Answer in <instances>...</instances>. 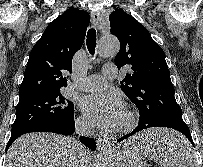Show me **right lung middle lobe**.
<instances>
[{
  "label": "right lung middle lobe",
  "mask_w": 203,
  "mask_h": 167,
  "mask_svg": "<svg viewBox=\"0 0 203 167\" xmlns=\"http://www.w3.org/2000/svg\"><path fill=\"white\" fill-rule=\"evenodd\" d=\"M73 117V104L62 96L60 90L42 94L18 103L11 136Z\"/></svg>",
  "instance_id": "obj_1"
}]
</instances>
